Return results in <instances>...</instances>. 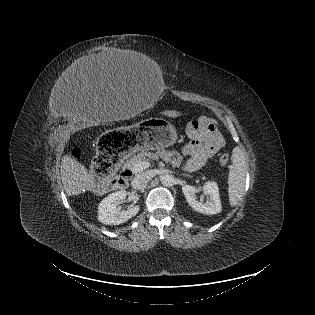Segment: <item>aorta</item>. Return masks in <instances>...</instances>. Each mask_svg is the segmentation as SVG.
I'll return each mask as SVG.
<instances>
[{"mask_svg":"<svg viewBox=\"0 0 315 315\" xmlns=\"http://www.w3.org/2000/svg\"><path fill=\"white\" fill-rule=\"evenodd\" d=\"M175 178L172 174H164L161 176V183L166 187H171L174 185Z\"/></svg>","mask_w":315,"mask_h":315,"instance_id":"1","label":"aorta"}]
</instances>
